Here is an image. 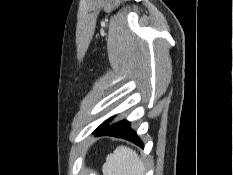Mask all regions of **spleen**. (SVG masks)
Here are the masks:
<instances>
[{"mask_svg": "<svg viewBox=\"0 0 233 175\" xmlns=\"http://www.w3.org/2000/svg\"><path fill=\"white\" fill-rule=\"evenodd\" d=\"M104 175H145V167L135 151L118 146L106 158L103 165Z\"/></svg>", "mask_w": 233, "mask_h": 175, "instance_id": "1", "label": "spleen"}]
</instances>
